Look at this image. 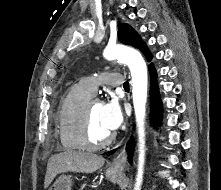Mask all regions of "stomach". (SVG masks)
Listing matches in <instances>:
<instances>
[{"instance_id": "1", "label": "stomach", "mask_w": 221, "mask_h": 190, "mask_svg": "<svg viewBox=\"0 0 221 190\" xmlns=\"http://www.w3.org/2000/svg\"><path fill=\"white\" fill-rule=\"evenodd\" d=\"M106 178L112 182H117L121 177V173L112 168L106 170ZM72 187V179L70 175H62L60 176L54 184L50 187L49 190H71Z\"/></svg>"}]
</instances>
